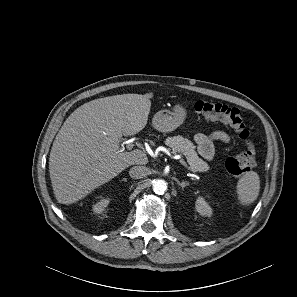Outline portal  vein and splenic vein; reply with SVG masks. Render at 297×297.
Returning <instances> with one entry per match:
<instances>
[{
    "label": "portal vein and splenic vein",
    "instance_id": "obj_1",
    "mask_svg": "<svg viewBox=\"0 0 297 297\" xmlns=\"http://www.w3.org/2000/svg\"><path fill=\"white\" fill-rule=\"evenodd\" d=\"M125 146L128 150H132L133 149V143L128 140V141H124L122 144H121V147H120V151H124L125 150ZM173 158L175 159H179L180 163L185 167L187 168L188 170H190V168L188 167V165L186 164V162L184 161L183 158H181L179 155H175ZM191 171V170H190ZM191 175H194V174H191Z\"/></svg>",
    "mask_w": 297,
    "mask_h": 297
}]
</instances>
